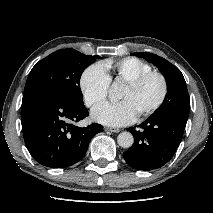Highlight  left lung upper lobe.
I'll return each instance as SVG.
<instances>
[{
    "label": "left lung upper lobe",
    "instance_id": "1",
    "mask_svg": "<svg viewBox=\"0 0 213 213\" xmlns=\"http://www.w3.org/2000/svg\"><path fill=\"white\" fill-rule=\"evenodd\" d=\"M156 65L167 81V94L161 106L149 117L176 113L188 117L190 98L181 71L166 59L148 52L132 53Z\"/></svg>",
    "mask_w": 213,
    "mask_h": 213
}]
</instances>
